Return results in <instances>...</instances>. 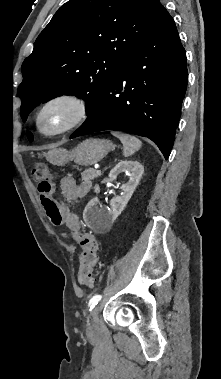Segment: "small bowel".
Returning <instances> with one entry per match:
<instances>
[{
	"label": "small bowel",
	"instance_id": "c3829d8e",
	"mask_svg": "<svg viewBox=\"0 0 221 379\" xmlns=\"http://www.w3.org/2000/svg\"><path fill=\"white\" fill-rule=\"evenodd\" d=\"M62 195L67 200L81 199L88 194L91 188V182L85 180L78 183L73 177L65 176L60 181ZM53 188L46 194H40L41 203L46 211L48 219L56 226L65 225L72 232H79L81 223L78 216L73 213L64 203L57 202L52 198ZM58 220V221H56ZM67 237L66 234H63Z\"/></svg>",
	"mask_w": 221,
	"mask_h": 379
}]
</instances>
